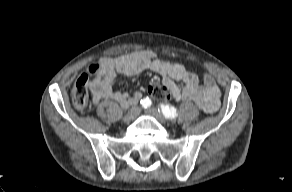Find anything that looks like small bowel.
I'll return each mask as SVG.
<instances>
[{"label":"small bowel","mask_w":292,"mask_h":192,"mask_svg":"<svg viewBox=\"0 0 292 192\" xmlns=\"http://www.w3.org/2000/svg\"><path fill=\"white\" fill-rule=\"evenodd\" d=\"M144 71L160 74L163 78V86L177 102H194L207 113H213L219 108L220 90L211 75L206 74L201 84L198 76L183 64L160 58L149 50L103 59L101 71L89 83L93 102L98 104L108 99L118 102L123 108L136 103L142 96L140 92L129 95L126 92L116 91L112 88V83L117 73L134 76ZM175 81L182 82V87H179Z\"/></svg>","instance_id":"c3829d8e"}]
</instances>
